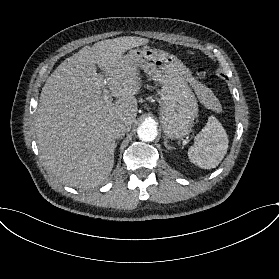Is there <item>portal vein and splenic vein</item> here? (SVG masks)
<instances>
[{"instance_id":"obj_1","label":"portal vein and splenic vein","mask_w":279,"mask_h":279,"mask_svg":"<svg viewBox=\"0 0 279 279\" xmlns=\"http://www.w3.org/2000/svg\"><path fill=\"white\" fill-rule=\"evenodd\" d=\"M102 90H103L104 100H109V98H110L109 97V91L105 88V86H103Z\"/></svg>"}]
</instances>
